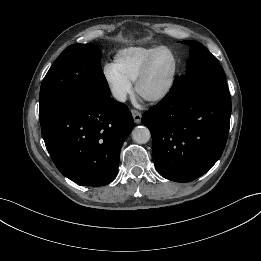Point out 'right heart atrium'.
<instances>
[{"label":"right heart atrium","mask_w":261,"mask_h":261,"mask_svg":"<svg viewBox=\"0 0 261 261\" xmlns=\"http://www.w3.org/2000/svg\"><path fill=\"white\" fill-rule=\"evenodd\" d=\"M102 74L113 98L118 102H124L132 93V83L118 72L113 63L105 64Z\"/></svg>","instance_id":"obj_1"}]
</instances>
